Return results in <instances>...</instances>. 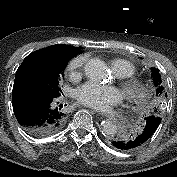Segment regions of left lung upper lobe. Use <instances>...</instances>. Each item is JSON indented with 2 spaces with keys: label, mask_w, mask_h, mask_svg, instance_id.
Masks as SVG:
<instances>
[{
  "label": "left lung upper lobe",
  "mask_w": 177,
  "mask_h": 177,
  "mask_svg": "<svg viewBox=\"0 0 177 177\" xmlns=\"http://www.w3.org/2000/svg\"><path fill=\"white\" fill-rule=\"evenodd\" d=\"M152 76H153L154 86L156 88V98H155V107L153 108V111L151 114L160 116L159 108L161 107L162 104H164V101L167 98V92L162 83L159 69L152 68Z\"/></svg>",
  "instance_id": "left-lung-upper-lobe-1"
}]
</instances>
